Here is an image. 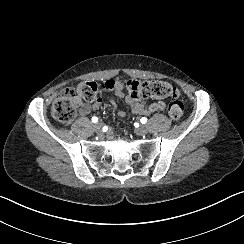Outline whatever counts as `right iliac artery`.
Here are the masks:
<instances>
[{"instance_id": "82829eb1", "label": "right iliac artery", "mask_w": 244, "mask_h": 244, "mask_svg": "<svg viewBox=\"0 0 244 244\" xmlns=\"http://www.w3.org/2000/svg\"><path fill=\"white\" fill-rule=\"evenodd\" d=\"M92 122H93V123L98 122V118H97V117H95V116H94V117H92Z\"/></svg>"}]
</instances>
